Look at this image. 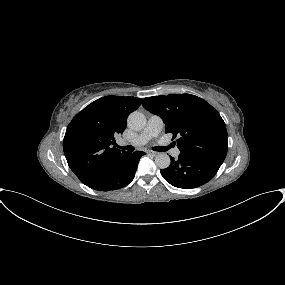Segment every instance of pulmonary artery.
Here are the masks:
<instances>
[{
	"mask_svg": "<svg viewBox=\"0 0 285 285\" xmlns=\"http://www.w3.org/2000/svg\"><path fill=\"white\" fill-rule=\"evenodd\" d=\"M163 121L159 116H151L145 129L132 141L135 145H144L152 138L157 137L163 129ZM179 155V150L174 151V156Z\"/></svg>",
	"mask_w": 285,
	"mask_h": 285,
	"instance_id": "1",
	"label": "pulmonary artery"
}]
</instances>
